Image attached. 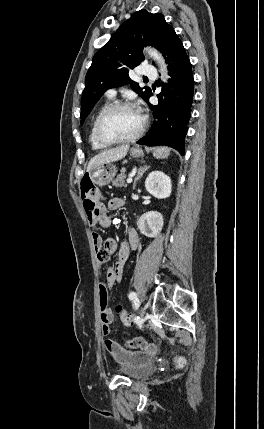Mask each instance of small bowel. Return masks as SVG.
Wrapping results in <instances>:
<instances>
[{
    "mask_svg": "<svg viewBox=\"0 0 264 429\" xmlns=\"http://www.w3.org/2000/svg\"><path fill=\"white\" fill-rule=\"evenodd\" d=\"M123 203V200L119 197L110 199L107 207L102 205L96 214H87L89 225L91 227H95L96 225L109 227L112 224V219L108 214V210H118L123 206ZM92 240L94 249L97 253V261L99 264L100 273V265L106 262L112 253L117 252V260L115 264L107 269L106 281L99 285L102 333L105 337H107L110 334V325L114 320V314L108 306V289L112 288L116 283L121 281L125 263L129 258L130 252L138 247L139 237L135 229L128 228L126 230L125 240L119 245L112 238L103 240L98 233L92 234ZM104 345L106 350L113 356V358L125 366L146 362L156 352L155 344L147 343L145 341L144 347L137 350L126 348L119 342L110 338L105 339Z\"/></svg>",
    "mask_w": 264,
    "mask_h": 429,
    "instance_id": "1",
    "label": "small bowel"
}]
</instances>
